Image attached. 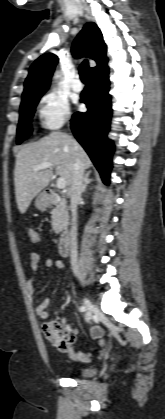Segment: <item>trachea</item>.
Listing matches in <instances>:
<instances>
[{
    "mask_svg": "<svg viewBox=\"0 0 165 419\" xmlns=\"http://www.w3.org/2000/svg\"><path fill=\"white\" fill-rule=\"evenodd\" d=\"M88 70H89V64H88V61L85 60L81 63L79 67L80 78L83 82L87 80Z\"/></svg>",
    "mask_w": 165,
    "mask_h": 419,
    "instance_id": "trachea-1",
    "label": "trachea"
}]
</instances>
